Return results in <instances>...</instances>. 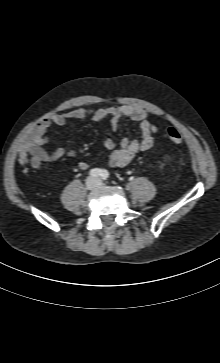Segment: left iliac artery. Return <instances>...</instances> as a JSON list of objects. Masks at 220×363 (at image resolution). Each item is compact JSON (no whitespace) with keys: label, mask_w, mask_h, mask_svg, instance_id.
Instances as JSON below:
<instances>
[{"label":"left iliac artery","mask_w":220,"mask_h":363,"mask_svg":"<svg viewBox=\"0 0 220 363\" xmlns=\"http://www.w3.org/2000/svg\"><path fill=\"white\" fill-rule=\"evenodd\" d=\"M101 178L103 180H107L109 178V172L107 170H102V172H101Z\"/></svg>","instance_id":"obj_1"}]
</instances>
